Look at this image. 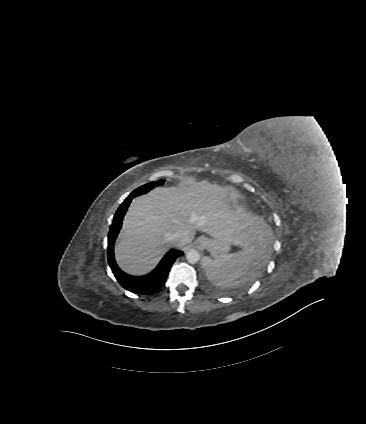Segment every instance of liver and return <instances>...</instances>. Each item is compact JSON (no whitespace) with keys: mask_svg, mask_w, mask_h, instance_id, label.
<instances>
[{"mask_svg":"<svg viewBox=\"0 0 366 424\" xmlns=\"http://www.w3.org/2000/svg\"><path fill=\"white\" fill-rule=\"evenodd\" d=\"M231 186L207 180L187 181L178 187H158L135 198L124 217L115 247L119 267L130 275L151 271L173 246L171 233L185 230L190 243L197 230L240 247L264 246L271 229L236 203Z\"/></svg>","mask_w":366,"mask_h":424,"instance_id":"liver-1","label":"liver"}]
</instances>
